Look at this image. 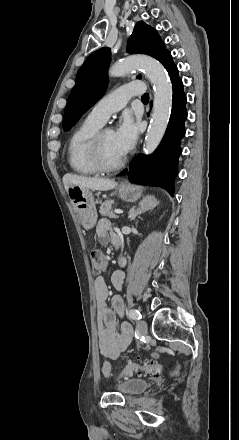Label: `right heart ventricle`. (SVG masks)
Wrapping results in <instances>:
<instances>
[{"label":"right heart ventricle","mask_w":239,"mask_h":440,"mask_svg":"<svg viewBox=\"0 0 239 440\" xmlns=\"http://www.w3.org/2000/svg\"><path fill=\"white\" fill-rule=\"evenodd\" d=\"M101 124L87 117L70 135L67 147V159L70 168L79 174L94 175L99 171L91 163L88 144Z\"/></svg>","instance_id":"e07e8e85"}]
</instances>
